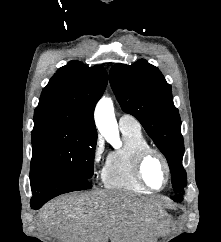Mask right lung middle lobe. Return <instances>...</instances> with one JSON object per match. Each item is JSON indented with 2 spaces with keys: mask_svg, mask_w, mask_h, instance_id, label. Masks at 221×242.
Here are the masks:
<instances>
[{
  "mask_svg": "<svg viewBox=\"0 0 221 242\" xmlns=\"http://www.w3.org/2000/svg\"><path fill=\"white\" fill-rule=\"evenodd\" d=\"M96 142V132L78 126L34 127L30 175H66L88 180L94 172Z\"/></svg>",
  "mask_w": 221,
  "mask_h": 242,
  "instance_id": "right-lung-middle-lobe-1",
  "label": "right lung middle lobe"
}]
</instances>
